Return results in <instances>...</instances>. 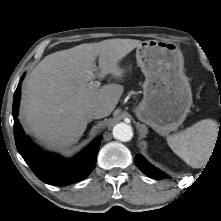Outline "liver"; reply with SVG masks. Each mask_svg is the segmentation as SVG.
Listing matches in <instances>:
<instances>
[{
    "instance_id": "6515ba94",
    "label": "liver",
    "mask_w": 221,
    "mask_h": 221,
    "mask_svg": "<svg viewBox=\"0 0 221 221\" xmlns=\"http://www.w3.org/2000/svg\"><path fill=\"white\" fill-rule=\"evenodd\" d=\"M136 39H107L84 43L47 55L25 80L19 118L27 132L51 149L76 143L86 130L88 108L100 109L104 118L112 113L124 91L119 84L96 87L95 72L120 77L119 62L141 45ZM98 59V69L95 60Z\"/></svg>"
}]
</instances>
